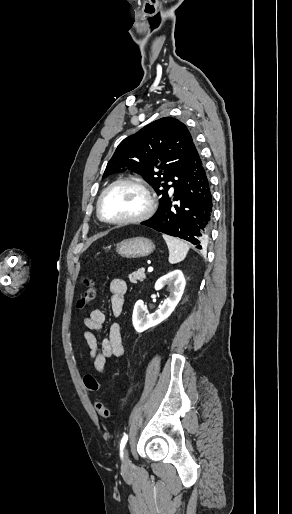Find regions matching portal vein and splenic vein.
<instances>
[{
	"mask_svg": "<svg viewBox=\"0 0 292 514\" xmlns=\"http://www.w3.org/2000/svg\"><path fill=\"white\" fill-rule=\"evenodd\" d=\"M153 268H148V272H152Z\"/></svg>",
	"mask_w": 292,
	"mask_h": 514,
	"instance_id": "1",
	"label": "portal vein and splenic vein"
}]
</instances>
